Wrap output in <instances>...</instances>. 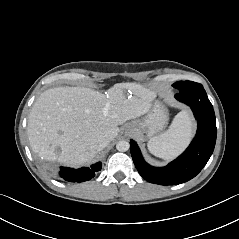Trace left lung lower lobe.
Instances as JSON below:
<instances>
[{
  "instance_id": "1",
  "label": "left lung lower lobe",
  "mask_w": 239,
  "mask_h": 239,
  "mask_svg": "<svg viewBox=\"0 0 239 239\" xmlns=\"http://www.w3.org/2000/svg\"><path fill=\"white\" fill-rule=\"evenodd\" d=\"M175 98L191 107L198 124L196 136L184 153L165 167H152L144 161L137 144L130 142L139 174L159 185H177L194 178L208 162L216 143L215 114L204 88L178 92Z\"/></svg>"
}]
</instances>
